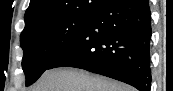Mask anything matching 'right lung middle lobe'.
<instances>
[{"mask_svg":"<svg viewBox=\"0 0 173 91\" xmlns=\"http://www.w3.org/2000/svg\"><path fill=\"white\" fill-rule=\"evenodd\" d=\"M100 2V1H99ZM94 11L51 18L21 33L26 86L34 83L52 61L70 46L91 21Z\"/></svg>","mask_w":173,"mask_h":91,"instance_id":"dd1d6c3e","label":"right lung middle lobe"}]
</instances>
